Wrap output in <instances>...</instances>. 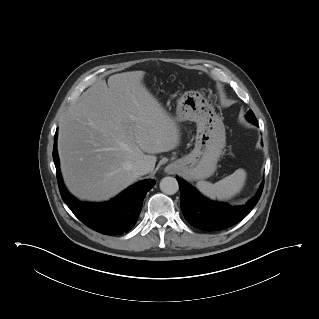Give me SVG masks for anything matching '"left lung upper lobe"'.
<instances>
[{"label":"left lung upper lobe","mask_w":319,"mask_h":319,"mask_svg":"<svg viewBox=\"0 0 319 319\" xmlns=\"http://www.w3.org/2000/svg\"><path fill=\"white\" fill-rule=\"evenodd\" d=\"M246 118L248 121H250L251 123H257V120L253 114V112L251 110H249L246 114Z\"/></svg>","instance_id":"left-lung-upper-lobe-1"}]
</instances>
